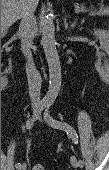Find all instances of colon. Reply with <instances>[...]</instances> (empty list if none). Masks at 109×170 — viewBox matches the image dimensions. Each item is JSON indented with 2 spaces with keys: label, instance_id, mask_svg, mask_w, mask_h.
Masks as SVG:
<instances>
[{
  "label": "colon",
  "instance_id": "5ec220e1",
  "mask_svg": "<svg viewBox=\"0 0 109 170\" xmlns=\"http://www.w3.org/2000/svg\"><path fill=\"white\" fill-rule=\"evenodd\" d=\"M32 170H45V168L42 165H35L32 167Z\"/></svg>",
  "mask_w": 109,
  "mask_h": 170
}]
</instances>
